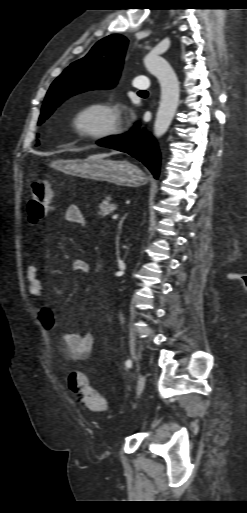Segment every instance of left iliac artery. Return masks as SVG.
Listing matches in <instances>:
<instances>
[{
    "label": "left iliac artery",
    "instance_id": "obj_1",
    "mask_svg": "<svg viewBox=\"0 0 247 513\" xmlns=\"http://www.w3.org/2000/svg\"><path fill=\"white\" fill-rule=\"evenodd\" d=\"M131 366H132V361L131 360H127L126 361V367L130 368Z\"/></svg>",
    "mask_w": 247,
    "mask_h": 513
}]
</instances>
